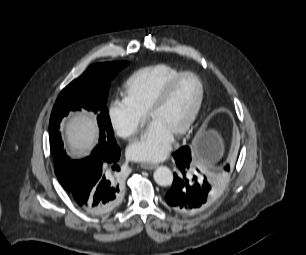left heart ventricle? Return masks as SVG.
I'll return each instance as SVG.
<instances>
[{
    "label": "left heart ventricle",
    "mask_w": 306,
    "mask_h": 255,
    "mask_svg": "<svg viewBox=\"0 0 306 255\" xmlns=\"http://www.w3.org/2000/svg\"><path fill=\"white\" fill-rule=\"evenodd\" d=\"M199 96V85L193 77L182 79L165 103L150 118L169 130L173 135L192 112Z\"/></svg>",
    "instance_id": "1"
}]
</instances>
